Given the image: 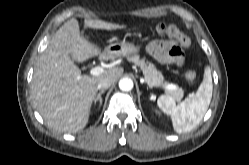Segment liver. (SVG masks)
I'll return each mask as SVG.
<instances>
[{"instance_id": "liver-1", "label": "liver", "mask_w": 249, "mask_h": 165, "mask_svg": "<svg viewBox=\"0 0 249 165\" xmlns=\"http://www.w3.org/2000/svg\"><path fill=\"white\" fill-rule=\"evenodd\" d=\"M84 26L104 30L124 28L97 19H85ZM98 55L103 59L116 58L107 57L99 46L81 36L74 18L51 38L37 60L31 82L34 106L48 126L67 133L81 131L88 123L99 81L108 78L115 82L123 74V68L115 67L97 76L81 75L74 61L84 62Z\"/></svg>"}]
</instances>
